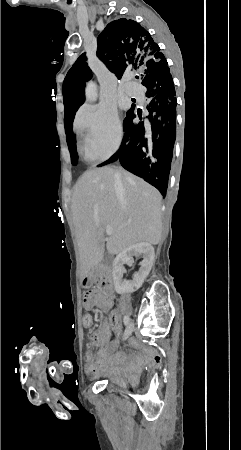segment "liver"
Here are the masks:
<instances>
[{
	"label": "liver",
	"instance_id": "obj_1",
	"mask_svg": "<svg viewBox=\"0 0 241 450\" xmlns=\"http://www.w3.org/2000/svg\"><path fill=\"white\" fill-rule=\"evenodd\" d=\"M120 172L123 190H116ZM162 196L141 178L114 168L87 170L75 184L72 216L82 280L103 260L106 228L108 254H120L138 242L159 244L162 234Z\"/></svg>",
	"mask_w": 241,
	"mask_h": 450
}]
</instances>
